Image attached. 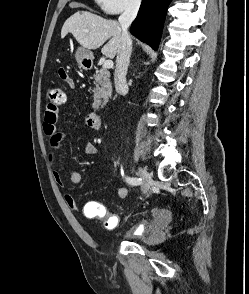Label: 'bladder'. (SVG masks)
Wrapping results in <instances>:
<instances>
[{"label": "bladder", "mask_w": 249, "mask_h": 294, "mask_svg": "<svg viewBox=\"0 0 249 294\" xmlns=\"http://www.w3.org/2000/svg\"><path fill=\"white\" fill-rule=\"evenodd\" d=\"M171 220V215L166 211L162 216L157 218V221L160 223V226L154 224H148L144 221L140 222L132 233H127L124 235L125 239H136L142 241L150 236L155 228H160L161 226L168 224Z\"/></svg>", "instance_id": "obj_1"}]
</instances>
